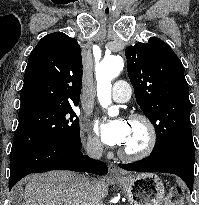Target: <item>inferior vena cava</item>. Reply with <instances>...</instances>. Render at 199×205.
<instances>
[{
    "mask_svg": "<svg viewBox=\"0 0 199 205\" xmlns=\"http://www.w3.org/2000/svg\"><path fill=\"white\" fill-rule=\"evenodd\" d=\"M86 152L90 157L94 159H100L103 152V146L99 141H93L87 146ZM84 181L85 189L87 190L91 198L90 205H103V202L96 191L94 182L90 181L89 178L86 177L84 178Z\"/></svg>",
    "mask_w": 199,
    "mask_h": 205,
    "instance_id": "1",
    "label": "inferior vena cava"
}]
</instances>
